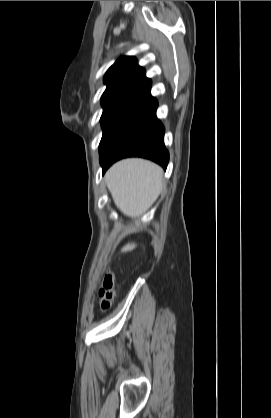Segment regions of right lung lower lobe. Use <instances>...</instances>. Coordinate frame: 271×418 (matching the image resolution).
Here are the masks:
<instances>
[{
    "label": "right lung lower lobe",
    "mask_w": 271,
    "mask_h": 418,
    "mask_svg": "<svg viewBox=\"0 0 271 418\" xmlns=\"http://www.w3.org/2000/svg\"><path fill=\"white\" fill-rule=\"evenodd\" d=\"M154 106L148 113L123 130L100 154L103 173L115 161L125 157H143L166 169L169 153L164 145L165 129L156 117Z\"/></svg>",
    "instance_id": "obj_1"
}]
</instances>
